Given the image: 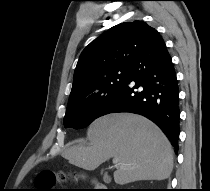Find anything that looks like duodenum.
<instances>
[{
	"label": "duodenum",
	"instance_id": "410a0bca",
	"mask_svg": "<svg viewBox=\"0 0 210 191\" xmlns=\"http://www.w3.org/2000/svg\"><path fill=\"white\" fill-rule=\"evenodd\" d=\"M97 191H114V190H109V189L106 188V186H104V188H101V189H99Z\"/></svg>",
	"mask_w": 210,
	"mask_h": 191
}]
</instances>
